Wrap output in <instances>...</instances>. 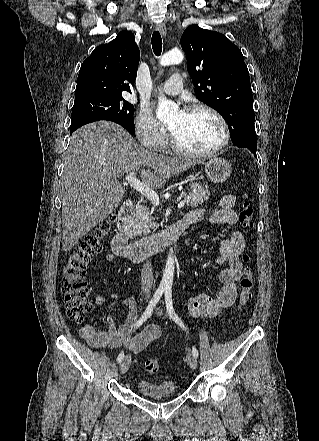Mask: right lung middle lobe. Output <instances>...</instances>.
<instances>
[{"mask_svg": "<svg viewBox=\"0 0 319 441\" xmlns=\"http://www.w3.org/2000/svg\"><path fill=\"white\" fill-rule=\"evenodd\" d=\"M134 107L123 97L94 96L76 99L72 108L71 126L78 127L94 121L108 120L134 133Z\"/></svg>", "mask_w": 319, "mask_h": 441, "instance_id": "1", "label": "right lung middle lobe"}]
</instances>
